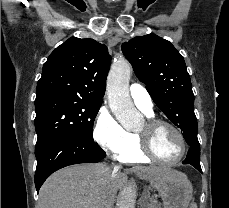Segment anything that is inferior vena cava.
Segmentation results:
<instances>
[{
  "instance_id": "inferior-vena-cava-1",
  "label": "inferior vena cava",
  "mask_w": 229,
  "mask_h": 208,
  "mask_svg": "<svg viewBox=\"0 0 229 208\" xmlns=\"http://www.w3.org/2000/svg\"><path fill=\"white\" fill-rule=\"evenodd\" d=\"M117 170H118V168H114L113 174H116ZM102 204H104V202H102ZM101 208H104V206H101Z\"/></svg>"
}]
</instances>
